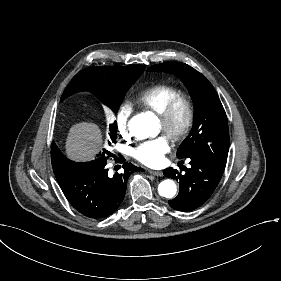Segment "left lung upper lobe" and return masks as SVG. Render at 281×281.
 <instances>
[{
	"label": "left lung upper lobe",
	"instance_id": "1",
	"mask_svg": "<svg viewBox=\"0 0 281 281\" xmlns=\"http://www.w3.org/2000/svg\"><path fill=\"white\" fill-rule=\"evenodd\" d=\"M178 76L187 87L194 104V124L182 142L178 158L202 156L220 166H226L229 150V130L225 110L212 84L187 64L165 62L148 68Z\"/></svg>",
	"mask_w": 281,
	"mask_h": 281
}]
</instances>
